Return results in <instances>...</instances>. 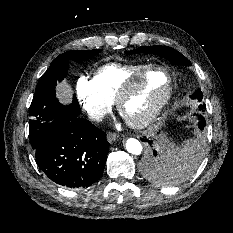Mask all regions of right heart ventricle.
<instances>
[{"mask_svg":"<svg viewBox=\"0 0 233 233\" xmlns=\"http://www.w3.org/2000/svg\"><path fill=\"white\" fill-rule=\"evenodd\" d=\"M149 67L147 64H107L96 70L94 80L102 95L112 102L126 81Z\"/></svg>","mask_w":233,"mask_h":233,"instance_id":"obj_1","label":"right heart ventricle"}]
</instances>
